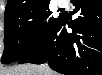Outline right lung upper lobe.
I'll return each instance as SVG.
<instances>
[{"label": "right lung upper lobe", "mask_w": 102, "mask_h": 75, "mask_svg": "<svg viewBox=\"0 0 102 75\" xmlns=\"http://www.w3.org/2000/svg\"><path fill=\"white\" fill-rule=\"evenodd\" d=\"M49 2L50 0H8L5 15L20 11L34 10Z\"/></svg>", "instance_id": "obj_1"}]
</instances>
